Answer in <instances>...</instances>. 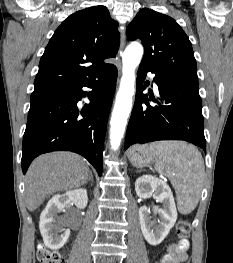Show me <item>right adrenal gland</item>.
<instances>
[{
    "mask_svg": "<svg viewBox=\"0 0 233 263\" xmlns=\"http://www.w3.org/2000/svg\"><path fill=\"white\" fill-rule=\"evenodd\" d=\"M90 181L93 183L94 181H93V175L91 174L90 175Z\"/></svg>",
    "mask_w": 233,
    "mask_h": 263,
    "instance_id": "right-adrenal-gland-1",
    "label": "right adrenal gland"
}]
</instances>
